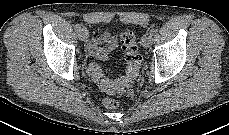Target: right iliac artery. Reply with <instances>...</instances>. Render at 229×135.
Segmentation results:
<instances>
[{
  "label": "right iliac artery",
  "mask_w": 229,
  "mask_h": 135,
  "mask_svg": "<svg viewBox=\"0 0 229 135\" xmlns=\"http://www.w3.org/2000/svg\"><path fill=\"white\" fill-rule=\"evenodd\" d=\"M75 29H76V31H80L82 29V25L81 24H76L75 25Z\"/></svg>",
  "instance_id": "right-iliac-artery-1"
}]
</instances>
